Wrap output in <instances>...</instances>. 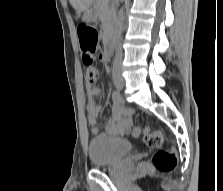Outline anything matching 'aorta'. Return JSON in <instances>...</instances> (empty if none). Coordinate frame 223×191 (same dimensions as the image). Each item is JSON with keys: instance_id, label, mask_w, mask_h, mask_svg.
<instances>
[{"instance_id": "1", "label": "aorta", "mask_w": 223, "mask_h": 191, "mask_svg": "<svg viewBox=\"0 0 223 191\" xmlns=\"http://www.w3.org/2000/svg\"><path fill=\"white\" fill-rule=\"evenodd\" d=\"M123 24H124V11H123V9H120L118 11V14H117V17L115 20V32H114V36L112 38V43L115 48L119 47L121 33L123 30Z\"/></svg>"}]
</instances>
